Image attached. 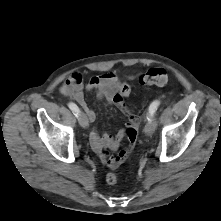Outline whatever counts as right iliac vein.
Masks as SVG:
<instances>
[{"label": "right iliac vein", "instance_id": "obj_1", "mask_svg": "<svg viewBox=\"0 0 221 221\" xmlns=\"http://www.w3.org/2000/svg\"><path fill=\"white\" fill-rule=\"evenodd\" d=\"M78 121H79V124L83 128H88L89 121H88V118H87V116H86V114L84 112H79V114H78Z\"/></svg>", "mask_w": 221, "mask_h": 221}]
</instances>
